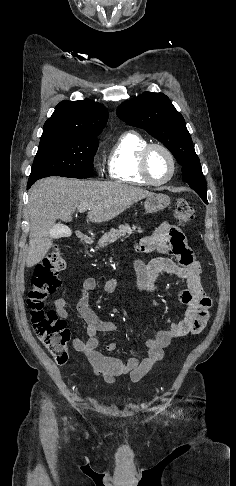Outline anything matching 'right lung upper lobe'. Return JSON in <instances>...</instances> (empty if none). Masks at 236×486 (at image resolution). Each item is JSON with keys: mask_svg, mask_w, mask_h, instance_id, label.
I'll return each mask as SVG.
<instances>
[{"mask_svg": "<svg viewBox=\"0 0 236 486\" xmlns=\"http://www.w3.org/2000/svg\"><path fill=\"white\" fill-rule=\"evenodd\" d=\"M107 109L92 100L62 101L45 122L43 133H64L96 138L105 127Z\"/></svg>", "mask_w": 236, "mask_h": 486, "instance_id": "1", "label": "right lung upper lobe"}]
</instances>
